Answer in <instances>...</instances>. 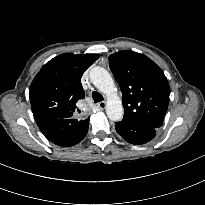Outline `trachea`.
Listing matches in <instances>:
<instances>
[{"mask_svg": "<svg viewBox=\"0 0 205 205\" xmlns=\"http://www.w3.org/2000/svg\"><path fill=\"white\" fill-rule=\"evenodd\" d=\"M92 97L95 103H98L103 100V96L97 91L92 92Z\"/></svg>", "mask_w": 205, "mask_h": 205, "instance_id": "1", "label": "trachea"}]
</instances>
